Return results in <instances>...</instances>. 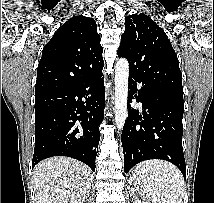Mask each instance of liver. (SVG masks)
<instances>
[{
  "mask_svg": "<svg viewBox=\"0 0 214 203\" xmlns=\"http://www.w3.org/2000/svg\"><path fill=\"white\" fill-rule=\"evenodd\" d=\"M32 177L36 203H83L90 194V171L72 158L45 159L35 166Z\"/></svg>",
  "mask_w": 214,
  "mask_h": 203,
  "instance_id": "liver-1",
  "label": "liver"
}]
</instances>
